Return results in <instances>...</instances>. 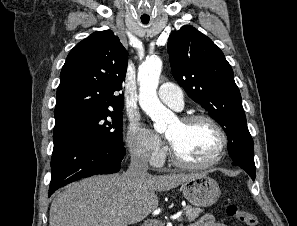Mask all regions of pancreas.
I'll return each instance as SVG.
<instances>
[{
	"instance_id": "1",
	"label": "pancreas",
	"mask_w": 297,
	"mask_h": 226,
	"mask_svg": "<svg viewBox=\"0 0 297 226\" xmlns=\"http://www.w3.org/2000/svg\"><path fill=\"white\" fill-rule=\"evenodd\" d=\"M202 212H203L202 209L194 208L190 205H187L185 207L186 219H187V221H190V222L194 221L196 218H198ZM148 226H164V224L160 221H157V222L149 223Z\"/></svg>"
}]
</instances>
